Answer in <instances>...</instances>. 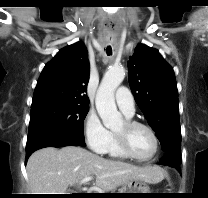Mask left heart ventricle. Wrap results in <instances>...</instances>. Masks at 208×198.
<instances>
[{"label":"left heart ventricle","mask_w":208,"mask_h":198,"mask_svg":"<svg viewBox=\"0 0 208 198\" xmlns=\"http://www.w3.org/2000/svg\"><path fill=\"white\" fill-rule=\"evenodd\" d=\"M114 132L126 133L127 140L132 152L140 157L150 156L154 150V141L151 134L142 127H134L126 130L124 121L114 128Z\"/></svg>","instance_id":"b2bd125f"}]
</instances>
